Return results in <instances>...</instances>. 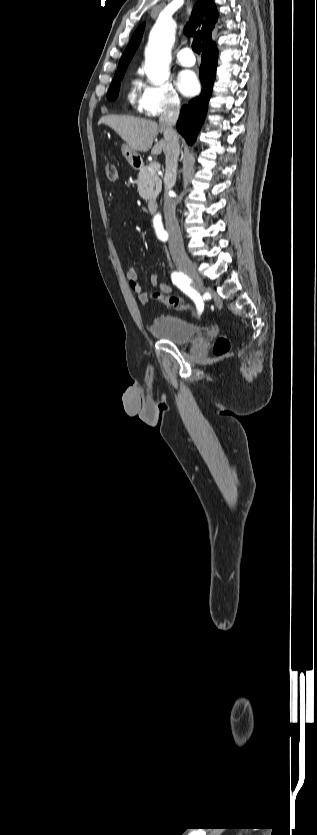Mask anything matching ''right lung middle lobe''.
I'll list each match as a JSON object with an SVG mask.
<instances>
[{
    "label": "right lung middle lobe",
    "mask_w": 317,
    "mask_h": 835,
    "mask_svg": "<svg viewBox=\"0 0 317 835\" xmlns=\"http://www.w3.org/2000/svg\"><path fill=\"white\" fill-rule=\"evenodd\" d=\"M126 68L127 67L119 68L115 73L114 79L107 93V98L109 100H115L117 98L119 93L120 80L123 78Z\"/></svg>",
    "instance_id": "1"
}]
</instances>
